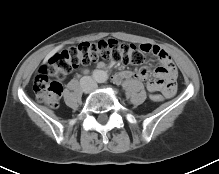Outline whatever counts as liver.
<instances>
[{"mask_svg":"<svg viewBox=\"0 0 219 174\" xmlns=\"http://www.w3.org/2000/svg\"><path fill=\"white\" fill-rule=\"evenodd\" d=\"M59 49H60V47H56L55 49H53V50L48 54L47 58L50 57V56H52V55H53L54 53H56Z\"/></svg>","mask_w":219,"mask_h":174,"instance_id":"1","label":"liver"}]
</instances>
